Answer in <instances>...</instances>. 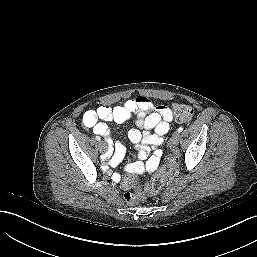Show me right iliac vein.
Segmentation results:
<instances>
[{
    "mask_svg": "<svg viewBox=\"0 0 257 257\" xmlns=\"http://www.w3.org/2000/svg\"><path fill=\"white\" fill-rule=\"evenodd\" d=\"M98 146H99V150L101 152H105L106 149H107V146H106V144L103 141H99Z\"/></svg>",
    "mask_w": 257,
    "mask_h": 257,
    "instance_id": "obj_1",
    "label": "right iliac vein"
}]
</instances>
